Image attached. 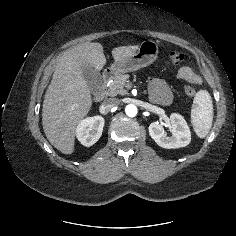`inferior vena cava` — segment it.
I'll list each match as a JSON object with an SVG mask.
<instances>
[{"instance_id": "1", "label": "inferior vena cava", "mask_w": 236, "mask_h": 236, "mask_svg": "<svg viewBox=\"0 0 236 236\" xmlns=\"http://www.w3.org/2000/svg\"><path fill=\"white\" fill-rule=\"evenodd\" d=\"M120 104L117 98H107L102 102V107L104 111H110L111 109L117 107Z\"/></svg>"}]
</instances>
